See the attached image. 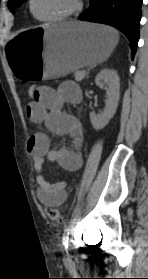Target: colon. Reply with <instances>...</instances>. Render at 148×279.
I'll use <instances>...</instances> for the list:
<instances>
[{"mask_svg":"<svg viewBox=\"0 0 148 279\" xmlns=\"http://www.w3.org/2000/svg\"><path fill=\"white\" fill-rule=\"evenodd\" d=\"M27 94L30 98H36L39 94V87L36 85H31L28 90H27ZM46 213L48 215V217L53 220V221H61L62 220V215L59 211L58 208L56 207H48L46 210Z\"/></svg>","mask_w":148,"mask_h":279,"instance_id":"obj_1","label":"colon"}]
</instances>
